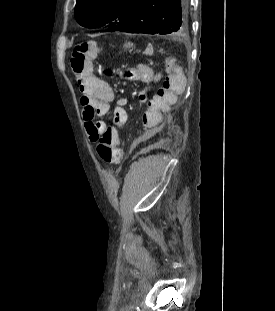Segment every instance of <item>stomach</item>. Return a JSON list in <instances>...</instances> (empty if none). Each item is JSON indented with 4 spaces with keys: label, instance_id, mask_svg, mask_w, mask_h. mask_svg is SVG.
<instances>
[{
    "label": "stomach",
    "instance_id": "stomach-1",
    "mask_svg": "<svg viewBox=\"0 0 275 311\" xmlns=\"http://www.w3.org/2000/svg\"><path fill=\"white\" fill-rule=\"evenodd\" d=\"M131 46L132 45H130L129 43L124 45L125 48H130Z\"/></svg>",
    "mask_w": 275,
    "mask_h": 311
}]
</instances>
